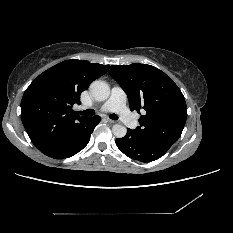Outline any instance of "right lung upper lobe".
<instances>
[{
  "label": "right lung upper lobe",
  "mask_w": 233,
  "mask_h": 233,
  "mask_svg": "<svg viewBox=\"0 0 233 233\" xmlns=\"http://www.w3.org/2000/svg\"><path fill=\"white\" fill-rule=\"evenodd\" d=\"M109 69L86 60L63 61L35 78L21 101V120L32 143L41 151L61 143L85 117L73 111L80 94Z\"/></svg>",
  "instance_id": "1"
}]
</instances>
